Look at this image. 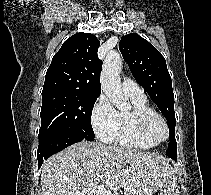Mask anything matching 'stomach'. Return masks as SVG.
<instances>
[{"label": "stomach", "mask_w": 211, "mask_h": 195, "mask_svg": "<svg viewBox=\"0 0 211 195\" xmlns=\"http://www.w3.org/2000/svg\"><path fill=\"white\" fill-rule=\"evenodd\" d=\"M175 184V175L172 174L167 178V183L160 189V194L158 195H175L173 191V186ZM131 195H144L138 193H130Z\"/></svg>", "instance_id": "obj_1"}]
</instances>
